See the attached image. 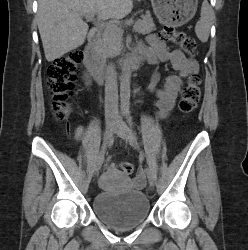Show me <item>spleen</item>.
Segmentation results:
<instances>
[{
    "label": "spleen",
    "mask_w": 248,
    "mask_h": 250,
    "mask_svg": "<svg viewBox=\"0 0 248 250\" xmlns=\"http://www.w3.org/2000/svg\"><path fill=\"white\" fill-rule=\"evenodd\" d=\"M213 10L207 0H204L201 7V17L195 26V33L198 39L205 43L208 40L211 28Z\"/></svg>",
    "instance_id": "3e777b00"
}]
</instances>
